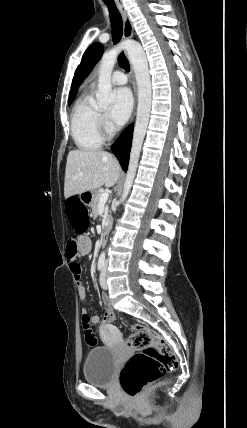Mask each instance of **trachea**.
Masks as SVG:
<instances>
[{
  "label": "trachea",
  "mask_w": 247,
  "mask_h": 428,
  "mask_svg": "<svg viewBox=\"0 0 247 428\" xmlns=\"http://www.w3.org/2000/svg\"><path fill=\"white\" fill-rule=\"evenodd\" d=\"M104 3L108 7V11H109L110 21L112 26L113 43L117 44L122 38V30H123L122 17L114 2L113 3L104 2ZM118 64L126 71H130L129 63L123 52L119 54Z\"/></svg>",
  "instance_id": "obj_1"
}]
</instances>
